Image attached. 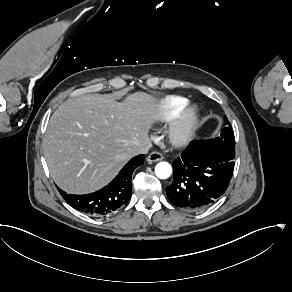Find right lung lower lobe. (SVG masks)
<instances>
[{"label":"right lung lower lobe","mask_w":292,"mask_h":292,"mask_svg":"<svg viewBox=\"0 0 292 292\" xmlns=\"http://www.w3.org/2000/svg\"><path fill=\"white\" fill-rule=\"evenodd\" d=\"M144 155L131 159L119 174L104 188L90 194H67L59 189L60 194L75 209L92 216H104L126 204L132 191L131 176L134 169L144 163Z\"/></svg>","instance_id":"98d812e1"}]
</instances>
